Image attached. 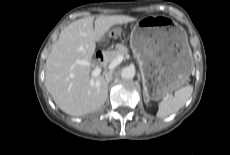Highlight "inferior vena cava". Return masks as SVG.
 I'll use <instances>...</instances> for the list:
<instances>
[{
    "label": "inferior vena cava",
    "instance_id": "inferior-vena-cava-1",
    "mask_svg": "<svg viewBox=\"0 0 230 155\" xmlns=\"http://www.w3.org/2000/svg\"><path fill=\"white\" fill-rule=\"evenodd\" d=\"M113 78V72L112 71H109L105 74V79L107 82H110Z\"/></svg>",
    "mask_w": 230,
    "mask_h": 155
}]
</instances>
